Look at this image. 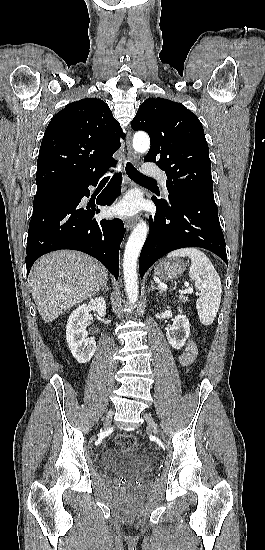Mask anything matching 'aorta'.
Wrapping results in <instances>:
<instances>
[{
  "mask_svg": "<svg viewBox=\"0 0 265 550\" xmlns=\"http://www.w3.org/2000/svg\"><path fill=\"white\" fill-rule=\"evenodd\" d=\"M133 148L137 153H146L150 148V138L146 133H136L133 138ZM148 226L141 221L133 229L127 241L124 258L123 274L127 297L134 304L138 299L137 260L142 246L147 238Z\"/></svg>",
  "mask_w": 265,
  "mask_h": 550,
  "instance_id": "1",
  "label": "aorta"
}]
</instances>
